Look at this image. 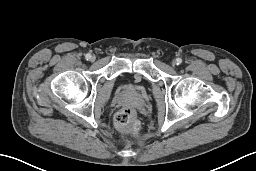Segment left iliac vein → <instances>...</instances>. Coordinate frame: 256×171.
Masks as SVG:
<instances>
[{
	"mask_svg": "<svg viewBox=\"0 0 256 171\" xmlns=\"http://www.w3.org/2000/svg\"><path fill=\"white\" fill-rule=\"evenodd\" d=\"M172 64H173L174 66L177 65V61L174 60V61L172 62Z\"/></svg>",
	"mask_w": 256,
	"mask_h": 171,
	"instance_id": "left-iliac-vein-1",
	"label": "left iliac vein"
}]
</instances>
